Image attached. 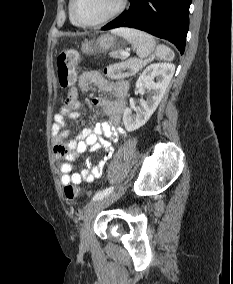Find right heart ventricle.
Returning a JSON list of instances; mask_svg holds the SVG:
<instances>
[{
    "mask_svg": "<svg viewBox=\"0 0 233 284\" xmlns=\"http://www.w3.org/2000/svg\"><path fill=\"white\" fill-rule=\"evenodd\" d=\"M70 7H71V2H70V5H69V11H70ZM70 20L73 24L77 25V23L74 21V19L71 16V12H70Z\"/></svg>",
    "mask_w": 233,
    "mask_h": 284,
    "instance_id": "1",
    "label": "right heart ventricle"
}]
</instances>
